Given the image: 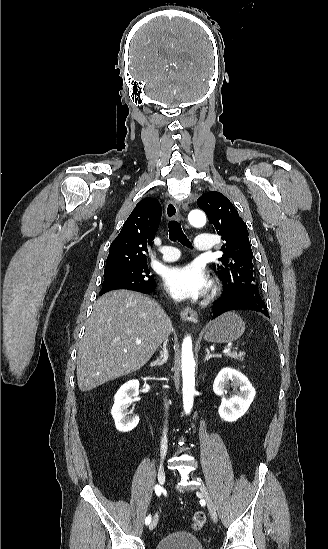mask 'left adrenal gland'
<instances>
[{"label":"left adrenal gland","mask_w":328,"mask_h":549,"mask_svg":"<svg viewBox=\"0 0 328 549\" xmlns=\"http://www.w3.org/2000/svg\"><path fill=\"white\" fill-rule=\"evenodd\" d=\"M207 355L205 361H209V359H212V357H216V355H210L209 349H205Z\"/></svg>","instance_id":"1"}]
</instances>
